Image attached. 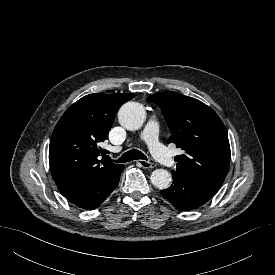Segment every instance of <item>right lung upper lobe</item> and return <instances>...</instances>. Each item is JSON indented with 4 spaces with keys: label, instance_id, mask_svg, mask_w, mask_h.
<instances>
[{
    "label": "right lung upper lobe",
    "instance_id": "obj_1",
    "mask_svg": "<svg viewBox=\"0 0 275 275\" xmlns=\"http://www.w3.org/2000/svg\"><path fill=\"white\" fill-rule=\"evenodd\" d=\"M134 96L133 93L89 94L65 111L54 128L49 146L50 171L61 193L102 181L121 166L100 164L98 156L103 151L99 144L107 139L121 105Z\"/></svg>",
    "mask_w": 275,
    "mask_h": 275
}]
</instances>
